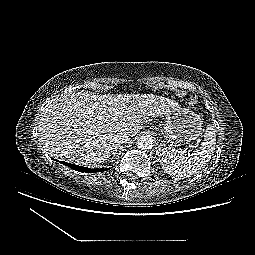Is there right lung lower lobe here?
I'll return each instance as SVG.
<instances>
[{
  "instance_id": "obj_1",
  "label": "right lung lower lobe",
  "mask_w": 255,
  "mask_h": 255,
  "mask_svg": "<svg viewBox=\"0 0 255 255\" xmlns=\"http://www.w3.org/2000/svg\"><path fill=\"white\" fill-rule=\"evenodd\" d=\"M59 162H61L65 166H68L71 169H74V170L79 171V172L93 173V172H99V171H106V170H108V168H106V169H91V168H86V167H82V166L66 163V162H63V161H59Z\"/></svg>"
}]
</instances>
